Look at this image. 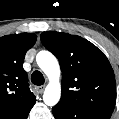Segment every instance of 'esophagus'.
I'll list each match as a JSON object with an SVG mask.
<instances>
[{
  "mask_svg": "<svg viewBox=\"0 0 119 119\" xmlns=\"http://www.w3.org/2000/svg\"><path fill=\"white\" fill-rule=\"evenodd\" d=\"M44 89H45V86H38V87L36 88V90H37V92H38L39 94H42L43 91H44Z\"/></svg>",
  "mask_w": 119,
  "mask_h": 119,
  "instance_id": "esophagus-1",
  "label": "esophagus"
}]
</instances>
